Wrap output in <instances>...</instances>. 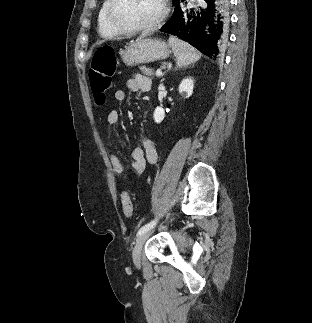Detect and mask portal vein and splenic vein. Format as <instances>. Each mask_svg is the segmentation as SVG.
I'll return each instance as SVG.
<instances>
[{
	"label": "portal vein and splenic vein",
	"instance_id": "18ae733b",
	"mask_svg": "<svg viewBox=\"0 0 312 323\" xmlns=\"http://www.w3.org/2000/svg\"><path fill=\"white\" fill-rule=\"evenodd\" d=\"M156 76H157V78H159V76H162V72H161V70H157V72H156Z\"/></svg>",
	"mask_w": 312,
	"mask_h": 323
}]
</instances>
